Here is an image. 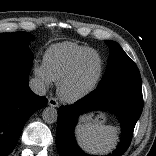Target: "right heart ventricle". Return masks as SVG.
<instances>
[{"mask_svg": "<svg viewBox=\"0 0 156 156\" xmlns=\"http://www.w3.org/2000/svg\"><path fill=\"white\" fill-rule=\"evenodd\" d=\"M94 49L72 42L50 46L44 54V67L54 82H60L71 70L74 63L85 53Z\"/></svg>", "mask_w": 156, "mask_h": 156, "instance_id": "1", "label": "right heart ventricle"}]
</instances>
